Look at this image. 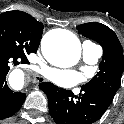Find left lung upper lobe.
Returning <instances> with one entry per match:
<instances>
[{
  "label": "left lung upper lobe",
  "mask_w": 124,
  "mask_h": 124,
  "mask_svg": "<svg viewBox=\"0 0 124 124\" xmlns=\"http://www.w3.org/2000/svg\"><path fill=\"white\" fill-rule=\"evenodd\" d=\"M77 30L83 36L98 42L104 50L99 72L82 88L98 91L113 100L121 83L124 70L122 46L109 27L97 22L79 25Z\"/></svg>",
  "instance_id": "5c2ea615"
}]
</instances>
